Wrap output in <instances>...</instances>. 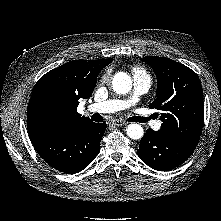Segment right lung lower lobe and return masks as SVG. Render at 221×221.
<instances>
[{"instance_id": "obj_1", "label": "right lung lower lobe", "mask_w": 221, "mask_h": 221, "mask_svg": "<svg viewBox=\"0 0 221 221\" xmlns=\"http://www.w3.org/2000/svg\"><path fill=\"white\" fill-rule=\"evenodd\" d=\"M105 123L72 124L57 131H28L38 154L51 167L64 173H78L98 155Z\"/></svg>"}]
</instances>
